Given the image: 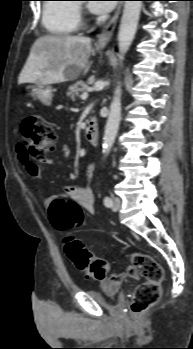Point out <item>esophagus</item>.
I'll return each mask as SVG.
<instances>
[{"mask_svg":"<svg viewBox=\"0 0 193 349\" xmlns=\"http://www.w3.org/2000/svg\"><path fill=\"white\" fill-rule=\"evenodd\" d=\"M122 4H118L117 9L113 15V17L110 19V21L106 24V26L103 28L102 32L98 36L97 39V46L98 47H105L110 39L112 38L120 13H121Z\"/></svg>","mask_w":193,"mask_h":349,"instance_id":"34e87169","label":"esophagus"}]
</instances>
